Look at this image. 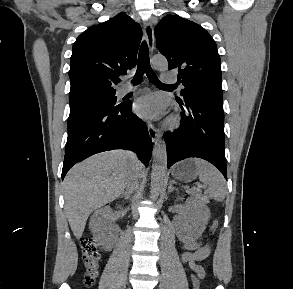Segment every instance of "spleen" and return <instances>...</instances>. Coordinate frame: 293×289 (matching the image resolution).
Segmentation results:
<instances>
[{"label":"spleen","instance_id":"spleen-1","mask_svg":"<svg viewBox=\"0 0 293 289\" xmlns=\"http://www.w3.org/2000/svg\"><path fill=\"white\" fill-rule=\"evenodd\" d=\"M199 180L207 187L205 193L212 199L222 201L227 194L225 179L222 174L205 160L195 158Z\"/></svg>","mask_w":293,"mask_h":289}]
</instances>
